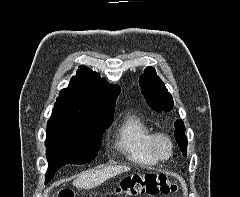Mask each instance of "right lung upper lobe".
Instances as JSON below:
<instances>
[{
    "label": "right lung upper lobe",
    "mask_w": 240,
    "mask_h": 197,
    "mask_svg": "<svg viewBox=\"0 0 240 197\" xmlns=\"http://www.w3.org/2000/svg\"><path fill=\"white\" fill-rule=\"evenodd\" d=\"M71 84L59 93L49 121L77 124L113 120L118 85L104 81L97 72L80 66Z\"/></svg>",
    "instance_id": "1"
}]
</instances>
